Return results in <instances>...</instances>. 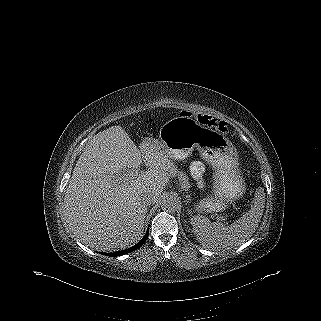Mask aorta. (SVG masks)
Returning a JSON list of instances; mask_svg holds the SVG:
<instances>
[{"label":"aorta","instance_id":"1","mask_svg":"<svg viewBox=\"0 0 321 321\" xmlns=\"http://www.w3.org/2000/svg\"><path fill=\"white\" fill-rule=\"evenodd\" d=\"M160 204L164 211L175 212L180 206V201L176 196L168 194L162 198Z\"/></svg>","mask_w":321,"mask_h":321}]
</instances>
